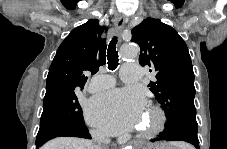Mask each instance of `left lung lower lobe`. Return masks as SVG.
<instances>
[{"instance_id": "1", "label": "left lung lower lobe", "mask_w": 227, "mask_h": 149, "mask_svg": "<svg viewBox=\"0 0 227 149\" xmlns=\"http://www.w3.org/2000/svg\"><path fill=\"white\" fill-rule=\"evenodd\" d=\"M196 120L173 119L165 123V130L151 141H185L199 149Z\"/></svg>"}]
</instances>
